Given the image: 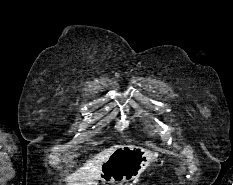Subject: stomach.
Segmentation results:
<instances>
[{
    "mask_svg": "<svg viewBox=\"0 0 233 185\" xmlns=\"http://www.w3.org/2000/svg\"><path fill=\"white\" fill-rule=\"evenodd\" d=\"M154 159L152 152L141 147L120 146L102 164L99 179L103 184L123 185L138 178Z\"/></svg>",
    "mask_w": 233,
    "mask_h": 185,
    "instance_id": "stomach-1",
    "label": "stomach"
}]
</instances>
